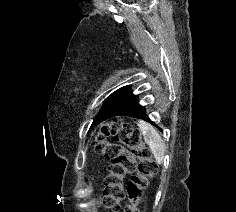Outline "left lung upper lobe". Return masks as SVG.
<instances>
[{
  "mask_svg": "<svg viewBox=\"0 0 236 212\" xmlns=\"http://www.w3.org/2000/svg\"><path fill=\"white\" fill-rule=\"evenodd\" d=\"M121 89V88H120ZM120 89H118L117 91H115L114 93H112L105 101L103 107L101 108V110L99 111V113L96 115V117L94 118L92 125L89 129V131L97 124H99V118L100 115L102 114V112L105 110V108L110 104V102L115 98V96L118 94V92L120 91Z\"/></svg>",
  "mask_w": 236,
  "mask_h": 212,
  "instance_id": "obj_1",
  "label": "left lung upper lobe"
}]
</instances>
